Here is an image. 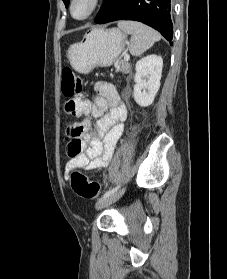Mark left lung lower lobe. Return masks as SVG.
<instances>
[{"label": "left lung lower lobe", "mask_w": 227, "mask_h": 279, "mask_svg": "<svg viewBox=\"0 0 227 279\" xmlns=\"http://www.w3.org/2000/svg\"><path fill=\"white\" fill-rule=\"evenodd\" d=\"M171 0H104L94 22L135 20L158 30L172 45Z\"/></svg>", "instance_id": "left-lung-lower-lobe-1"}]
</instances>
